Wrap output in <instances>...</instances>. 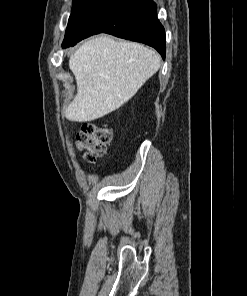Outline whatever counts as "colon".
<instances>
[{
	"instance_id": "obj_1",
	"label": "colon",
	"mask_w": 247,
	"mask_h": 296,
	"mask_svg": "<svg viewBox=\"0 0 247 296\" xmlns=\"http://www.w3.org/2000/svg\"><path fill=\"white\" fill-rule=\"evenodd\" d=\"M111 140V132L97 123H84L76 136L77 147L83 152L84 160L94 163L106 153Z\"/></svg>"
}]
</instances>
